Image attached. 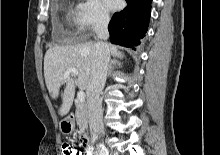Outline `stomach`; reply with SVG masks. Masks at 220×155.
I'll return each mask as SVG.
<instances>
[{"mask_svg":"<svg viewBox=\"0 0 220 155\" xmlns=\"http://www.w3.org/2000/svg\"><path fill=\"white\" fill-rule=\"evenodd\" d=\"M59 128L63 134H65V135L71 134L75 128L74 120L71 117H67V118L63 119L59 123Z\"/></svg>","mask_w":220,"mask_h":155,"instance_id":"1","label":"stomach"}]
</instances>
